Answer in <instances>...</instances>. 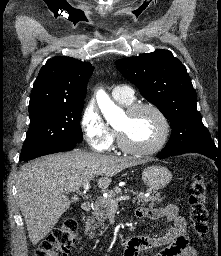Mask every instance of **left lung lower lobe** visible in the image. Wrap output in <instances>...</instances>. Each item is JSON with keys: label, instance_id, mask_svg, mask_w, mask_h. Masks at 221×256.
<instances>
[{"label": "left lung lower lobe", "instance_id": "0a47b994", "mask_svg": "<svg viewBox=\"0 0 221 256\" xmlns=\"http://www.w3.org/2000/svg\"><path fill=\"white\" fill-rule=\"evenodd\" d=\"M200 153L215 160L218 168H221V146L215 145L212 139L194 140L187 144L166 146L157 158H167L182 153Z\"/></svg>", "mask_w": 221, "mask_h": 256}]
</instances>
